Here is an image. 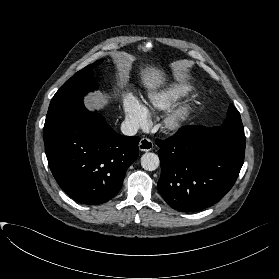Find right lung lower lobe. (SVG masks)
I'll use <instances>...</instances> for the list:
<instances>
[{
    "instance_id": "1",
    "label": "right lung lower lobe",
    "mask_w": 279,
    "mask_h": 279,
    "mask_svg": "<svg viewBox=\"0 0 279 279\" xmlns=\"http://www.w3.org/2000/svg\"><path fill=\"white\" fill-rule=\"evenodd\" d=\"M137 136L116 133L79 101L44 125L45 152L59 186L75 201L99 205L117 195L138 157Z\"/></svg>"
}]
</instances>
